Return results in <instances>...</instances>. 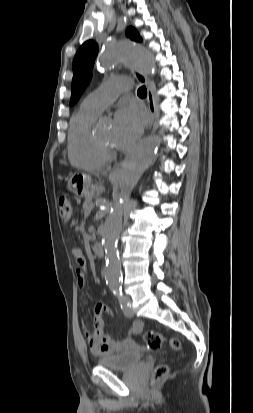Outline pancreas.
<instances>
[{
  "mask_svg": "<svg viewBox=\"0 0 253 413\" xmlns=\"http://www.w3.org/2000/svg\"><path fill=\"white\" fill-rule=\"evenodd\" d=\"M100 192V189L97 190V193H95L94 191L90 192L89 194H87L85 196V201H84V208L85 209H89L92 206V200L94 197L98 196V193ZM94 240V237H93Z\"/></svg>",
  "mask_w": 253,
  "mask_h": 413,
  "instance_id": "1",
  "label": "pancreas"
}]
</instances>
